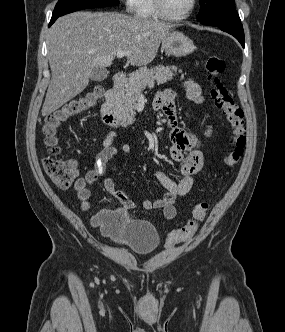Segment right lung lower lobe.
Listing matches in <instances>:
<instances>
[{
    "label": "right lung lower lobe",
    "mask_w": 285,
    "mask_h": 332,
    "mask_svg": "<svg viewBox=\"0 0 285 332\" xmlns=\"http://www.w3.org/2000/svg\"><path fill=\"white\" fill-rule=\"evenodd\" d=\"M59 16H52L51 18V21L49 23V27L56 21V19L58 18Z\"/></svg>",
    "instance_id": "right-lung-lower-lobe-1"
}]
</instances>
